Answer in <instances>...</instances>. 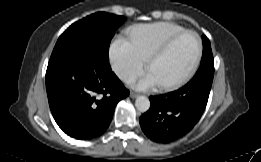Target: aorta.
<instances>
[{
    "instance_id": "obj_1",
    "label": "aorta",
    "mask_w": 261,
    "mask_h": 162,
    "mask_svg": "<svg viewBox=\"0 0 261 162\" xmlns=\"http://www.w3.org/2000/svg\"><path fill=\"white\" fill-rule=\"evenodd\" d=\"M135 106L138 111L146 112L150 108V101L146 96H138L135 100Z\"/></svg>"
}]
</instances>
